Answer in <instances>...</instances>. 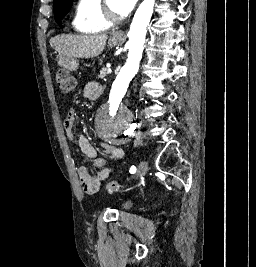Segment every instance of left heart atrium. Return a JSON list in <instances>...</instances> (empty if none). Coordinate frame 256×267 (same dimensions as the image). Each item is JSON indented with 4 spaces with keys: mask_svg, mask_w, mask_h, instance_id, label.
Wrapping results in <instances>:
<instances>
[{
    "mask_svg": "<svg viewBox=\"0 0 256 267\" xmlns=\"http://www.w3.org/2000/svg\"><path fill=\"white\" fill-rule=\"evenodd\" d=\"M117 7L118 22L126 18L132 11L136 0H115ZM117 28V27H116Z\"/></svg>",
    "mask_w": 256,
    "mask_h": 267,
    "instance_id": "39dd6f15",
    "label": "left heart atrium"
}]
</instances>
